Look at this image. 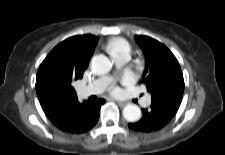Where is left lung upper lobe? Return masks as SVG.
Listing matches in <instances>:
<instances>
[{"label":"left lung upper lobe","mask_w":225,"mask_h":155,"mask_svg":"<svg viewBox=\"0 0 225 155\" xmlns=\"http://www.w3.org/2000/svg\"><path fill=\"white\" fill-rule=\"evenodd\" d=\"M135 40L145 53L143 83L151 93L152 103L178 109L183 97L184 79L177 59L165 45L150 37L140 35L135 36Z\"/></svg>","instance_id":"left-lung-upper-lobe-1"}]
</instances>
